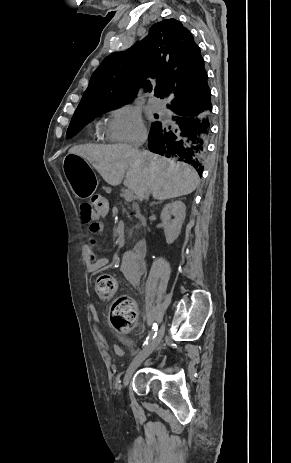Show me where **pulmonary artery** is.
I'll list each match as a JSON object with an SVG mask.
<instances>
[{"label":"pulmonary artery","instance_id":"1","mask_svg":"<svg viewBox=\"0 0 291 463\" xmlns=\"http://www.w3.org/2000/svg\"><path fill=\"white\" fill-rule=\"evenodd\" d=\"M152 107L155 111L161 112L164 108V104L160 101H155L153 102Z\"/></svg>","mask_w":291,"mask_h":463}]
</instances>
